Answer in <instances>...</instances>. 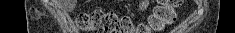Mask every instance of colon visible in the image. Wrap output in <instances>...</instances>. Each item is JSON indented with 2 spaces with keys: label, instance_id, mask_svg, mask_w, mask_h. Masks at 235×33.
Listing matches in <instances>:
<instances>
[{
  "label": "colon",
  "instance_id": "colon-1",
  "mask_svg": "<svg viewBox=\"0 0 235 33\" xmlns=\"http://www.w3.org/2000/svg\"><path fill=\"white\" fill-rule=\"evenodd\" d=\"M180 0H162L154 8L147 23L134 26L129 17L119 16L114 12L95 10L92 13H82L77 17L79 28L94 33H152L161 32L174 22L175 8Z\"/></svg>",
  "mask_w": 235,
  "mask_h": 33
}]
</instances>
